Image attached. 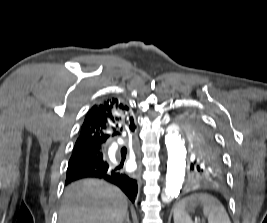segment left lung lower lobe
Masks as SVG:
<instances>
[{"instance_id": "1", "label": "left lung lower lobe", "mask_w": 267, "mask_h": 223, "mask_svg": "<svg viewBox=\"0 0 267 223\" xmlns=\"http://www.w3.org/2000/svg\"><path fill=\"white\" fill-rule=\"evenodd\" d=\"M190 176L187 177V182L190 184V189H199V194H210L211 190H222L223 187H229V182H226L227 171H190Z\"/></svg>"}]
</instances>
